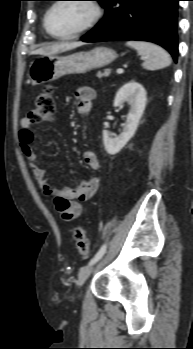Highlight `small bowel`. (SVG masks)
Returning <instances> with one entry per match:
<instances>
[{
	"label": "small bowel",
	"instance_id": "obj_1",
	"mask_svg": "<svg viewBox=\"0 0 193 349\" xmlns=\"http://www.w3.org/2000/svg\"><path fill=\"white\" fill-rule=\"evenodd\" d=\"M95 96V90L88 86L80 87L75 91L76 109L80 116L85 117L89 114ZM31 126L32 122L28 118L22 119L19 132L22 153L27 158L30 170L40 188L46 195L53 198L55 208L61 217L65 221H72L82 212L81 202L88 201L96 195L100 180L97 177L82 180L74 188L68 185L54 186L46 177V171L34 152V133ZM83 160L86 166L93 171L100 166L97 155L91 150L83 153Z\"/></svg>",
	"mask_w": 193,
	"mask_h": 349
}]
</instances>
